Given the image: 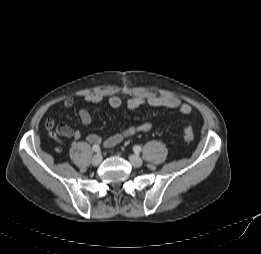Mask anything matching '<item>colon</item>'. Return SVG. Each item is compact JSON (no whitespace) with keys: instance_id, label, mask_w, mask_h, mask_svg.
I'll use <instances>...</instances> for the list:
<instances>
[{"instance_id":"colon-1","label":"colon","mask_w":261,"mask_h":254,"mask_svg":"<svg viewBox=\"0 0 261 254\" xmlns=\"http://www.w3.org/2000/svg\"><path fill=\"white\" fill-rule=\"evenodd\" d=\"M182 135L186 142H190L194 139V132L190 125L184 124L182 127Z\"/></svg>"}]
</instances>
